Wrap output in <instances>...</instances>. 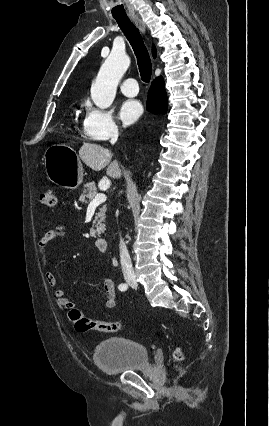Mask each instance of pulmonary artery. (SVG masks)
Masks as SVG:
<instances>
[{"instance_id":"pulmonary-artery-1","label":"pulmonary artery","mask_w":269,"mask_h":426,"mask_svg":"<svg viewBox=\"0 0 269 426\" xmlns=\"http://www.w3.org/2000/svg\"><path fill=\"white\" fill-rule=\"evenodd\" d=\"M120 90L126 96H136L139 91L137 81L132 77L124 79L120 84Z\"/></svg>"}]
</instances>
